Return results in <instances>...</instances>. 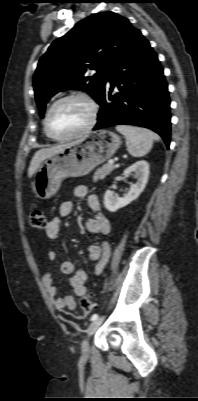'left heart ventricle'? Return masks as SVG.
Instances as JSON below:
<instances>
[{
  "instance_id": "left-heart-ventricle-1",
  "label": "left heart ventricle",
  "mask_w": 198,
  "mask_h": 401,
  "mask_svg": "<svg viewBox=\"0 0 198 401\" xmlns=\"http://www.w3.org/2000/svg\"><path fill=\"white\" fill-rule=\"evenodd\" d=\"M90 119L89 106L77 99L67 100L53 110L50 130L57 137L71 135L84 128Z\"/></svg>"
}]
</instances>
